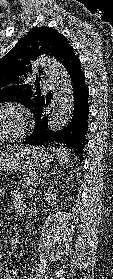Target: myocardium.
<instances>
[{
    "mask_svg": "<svg viewBox=\"0 0 113 279\" xmlns=\"http://www.w3.org/2000/svg\"><path fill=\"white\" fill-rule=\"evenodd\" d=\"M4 110L13 111L18 115L20 127L15 133L1 136L0 143L11 142L23 138L27 133L29 127L28 116L25 109L18 103L4 102L0 104V112Z\"/></svg>",
    "mask_w": 113,
    "mask_h": 279,
    "instance_id": "f54148a6",
    "label": "myocardium"
}]
</instances>
